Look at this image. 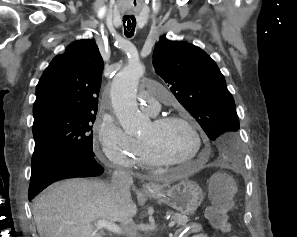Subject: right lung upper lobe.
<instances>
[{
    "label": "right lung upper lobe",
    "mask_w": 297,
    "mask_h": 237,
    "mask_svg": "<svg viewBox=\"0 0 297 237\" xmlns=\"http://www.w3.org/2000/svg\"><path fill=\"white\" fill-rule=\"evenodd\" d=\"M103 60L93 40H80L56 56L36 86L34 123L54 114L96 113Z\"/></svg>",
    "instance_id": "cb5924a9"
}]
</instances>
